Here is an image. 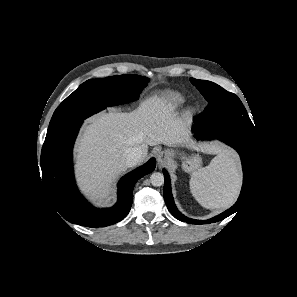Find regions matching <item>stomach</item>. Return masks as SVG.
<instances>
[{
  "label": "stomach",
  "mask_w": 297,
  "mask_h": 297,
  "mask_svg": "<svg viewBox=\"0 0 297 297\" xmlns=\"http://www.w3.org/2000/svg\"><path fill=\"white\" fill-rule=\"evenodd\" d=\"M174 156V153H172V157ZM182 158V168L184 171L188 173L195 172L201 168L202 159L200 155L193 154V155H186L181 154Z\"/></svg>",
  "instance_id": "1"
}]
</instances>
